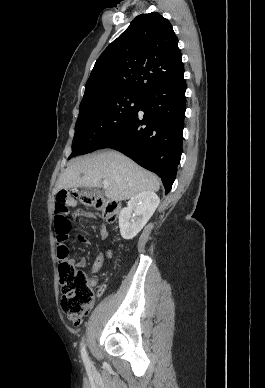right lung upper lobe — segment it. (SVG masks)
<instances>
[{
	"label": "right lung upper lobe",
	"instance_id": "obj_1",
	"mask_svg": "<svg viewBox=\"0 0 265 388\" xmlns=\"http://www.w3.org/2000/svg\"><path fill=\"white\" fill-rule=\"evenodd\" d=\"M183 75L178 38L170 22L157 12L141 14L100 55L84 97L102 90L143 95Z\"/></svg>",
	"mask_w": 265,
	"mask_h": 388
}]
</instances>
